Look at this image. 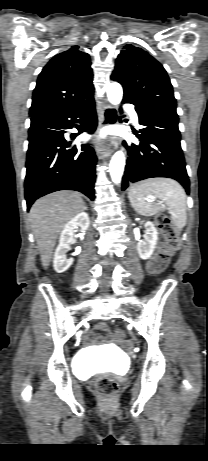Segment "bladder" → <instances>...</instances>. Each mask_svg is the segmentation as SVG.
Segmentation results:
<instances>
[{
	"label": "bladder",
	"mask_w": 208,
	"mask_h": 461,
	"mask_svg": "<svg viewBox=\"0 0 208 461\" xmlns=\"http://www.w3.org/2000/svg\"><path fill=\"white\" fill-rule=\"evenodd\" d=\"M81 356H82V362H81V363H82V366H85V365H87V364H89V363L92 362V358L86 356L85 353H82ZM103 365H106V364H103ZM111 366L113 367V370H114L115 372H119V373H120V372H122V370H123L122 368H120V367H118V366H116V365H114V364H111Z\"/></svg>",
	"instance_id": "bladder-1"
}]
</instances>
